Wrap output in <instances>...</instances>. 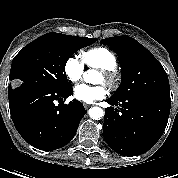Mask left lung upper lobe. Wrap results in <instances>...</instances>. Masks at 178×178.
<instances>
[{"mask_svg": "<svg viewBox=\"0 0 178 178\" xmlns=\"http://www.w3.org/2000/svg\"><path fill=\"white\" fill-rule=\"evenodd\" d=\"M118 55L122 65V82L112 99L121 100L146 95L171 103L168 76L157 59L143 45L128 36H115L101 41Z\"/></svg>", "mask_w": 178, "mask_h": 178, "instance_id": "5c2ea615", "label": "left lung upper lobe"}]
</instances>
